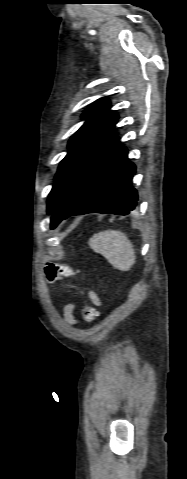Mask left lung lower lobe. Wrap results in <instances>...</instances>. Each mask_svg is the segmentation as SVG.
Returning <instances> with one entry per match:
<instances>
[{
	"label": "left lung lower lobe",
	"mask_w": 187,
	"mask_h": 479,
	"mask_svg": "<svg viewBox=\"0 0 187 479\" xmlns=\"http://www.w3.org/2000/svg\"><path fill=\"white\" fill-rule=\"evenodd\" d=\"M134 174L135 165L128 160L126 147L117 140L89 165L55 208L51 228L72 215L130 214L138 200L131 184Z\"/></svg>",
	"instance_id": "left-lung-lower-lobe-1"
}]
</instances>
